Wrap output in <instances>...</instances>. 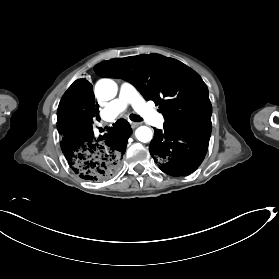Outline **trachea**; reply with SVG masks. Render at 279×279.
<instances>
[{
    "label": "trachea",
    "mask_w": 279,
    "mask_h": 279,
    "mask_svg": "<svg viewBox=\"0 0 279 279\" xmlns=\"http://www.w3.org/2000/svg\"><path fill=\"white\" fill-rule=\"evenodd\" d=\"M130 119L134 122H140L142 121V118L139 116V115H136V114H131L130 116Z\"/></svg>",
    "instance_id": "trachea-1"
}]
</instances>
